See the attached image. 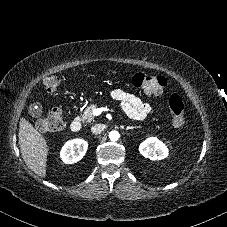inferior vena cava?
Segmentation results:
<instances>
[{"mask_svg":"<svg viewBox=\"0 0 227 227\" xmlns=\"http://www.w3.org/2000/svg\"><path fill=\"white\" fill-rule=\"evenodd\" d=\"M105 128H106V127H105L104 124H96V125L92 126L91 132H92L93 134H100L101 132L104 131Z\"/></svg>","mask_w":227,"mask_h":227,"instance_id":"inferior-vena-cava-1","label":"inferior vena cava"}]
</instances>
